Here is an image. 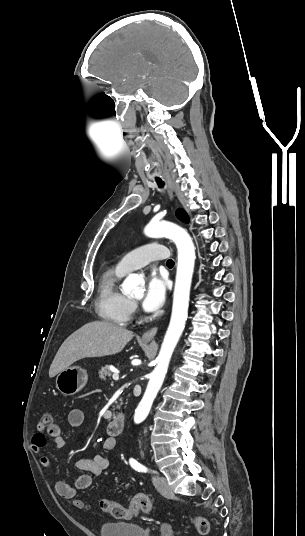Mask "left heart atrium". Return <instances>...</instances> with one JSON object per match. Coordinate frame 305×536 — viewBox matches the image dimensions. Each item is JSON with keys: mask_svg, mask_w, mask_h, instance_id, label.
I'll return each mask as SVG.
<instances>
[{"mask_svg": "<svg viewBox=\"0 0 305 536\" xmlns=\"http://www.w3.org/2000/svg\"><path fill=\"white\" fill-rule=\"evenodd\" d=\"M166 286L163 278L151 273L147 278L146 292L142 301L145 311H155L160 308L165 299Z\"/></svg>", "mask_w": 305, "mask_h": 536, "instance_id": "1", "label": "left heart atrium"}]
</instances>
